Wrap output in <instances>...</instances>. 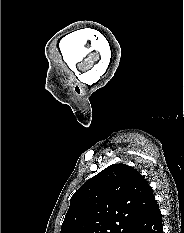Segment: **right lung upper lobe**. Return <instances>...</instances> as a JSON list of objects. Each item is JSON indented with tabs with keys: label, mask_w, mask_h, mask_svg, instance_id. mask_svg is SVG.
Wrapping results in <instances>:
<instances>
[{
	"label": "right lung upper lobe",
	"mask_w": 184,
	"mask_h": 233,
	"mask_svg": "<svg viewBox=\"0 0 184 233\" xmlns=\"http://www.w3.org/2000/svg\"><path fill=\"white\" fill-rule=\"evenodd\" d=\"M156 203L136 169L112 164L74 193L60 233H126Z\"/></svg>",
	"instance_id": "cb5924a9"
}]
</instances>
